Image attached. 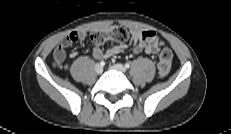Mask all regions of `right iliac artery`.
<instances>
[{
    "instance_id": "1",
    "label": "right iliac artery",
    "mask_w": 231,
    "mask_h": 134,
    "mask_svg": "<svg viewBox=\"0 0 231 134\" xmlns=\"http://www.w3.org/2000/svg\"><path fill=\"white\" fill-rule=\"evenodd\" d=\"M100 65L103 67L105 65V62L104 61H101L100 62Z\"/></svg>"
}]
</instances>
